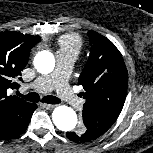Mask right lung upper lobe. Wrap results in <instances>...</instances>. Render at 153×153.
I'll return each instance as SVG.
<instances>
[{
  "mask_svg": "<svg viewBox=\"0 0 153 153\" xmlns=\"http://www.w3.org/2000/svg\"><path fill=\"white\" fill-rule=\"evenodd\" d=\"M40 40V36L19 32L0 34V132L32 104L16 96H8L7 91L19 87L14 80L26 66L31 48Z\"/></svg>",
  "mask_w": 153,
  "mask_h": 153,
  "instance_id": "1",
  "label": "right lung upper lobe"
}]
</instances>
